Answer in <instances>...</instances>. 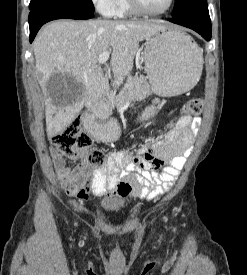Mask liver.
Here are the masks:
<instances>
[{
    "instance_id": "obj_1",
    "label": "liver",
    "mask_w": 247,
    "mask_h": 275,
    "mask_svg": "<svg viewBox=\"0 0 247 275\" xmlns=\"http://www.w3.org/2000/svg\"><path fill=\"white\" fill-rule=\"evenodd\" d=\"M150 21H71L46 25L33 43L36 75L45 95L46 131L49 137L65 130L83 107L92 108L109 93V82L98 57L111 52L113 86L122 84L133 67L139 42L164 30ZM59 72L80 83L81 93L63 99L48 96L46 83Z\"/></svg>"
}]
</instances>
